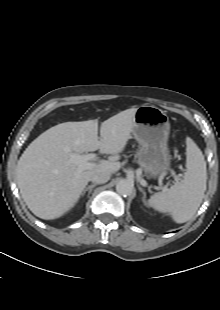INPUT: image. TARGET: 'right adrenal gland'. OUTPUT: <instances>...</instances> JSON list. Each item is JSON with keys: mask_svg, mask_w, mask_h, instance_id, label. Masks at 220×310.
Returning a JSON list of instances; mask_svg holds the SVG:
<instances>
[{"mask_svg": "<svg viewBox=\"0 0 220 310\" xmlns=\"http://www.w3.org/2000/svg\"><path fill=\"white\" fill-rule=\"evenodd\" d=\"M97 184H92V185H89L88 187H86L83 192L81 193L82 196L85 195V193L88 191V197L90 196L91 192H92V189L94 187H96Z\"/></svg>", "mask_w": 220, "mask_h": 310, "instance_id": "2a0ac1e0", "label": "right adrenal gland"}]
</instances>
